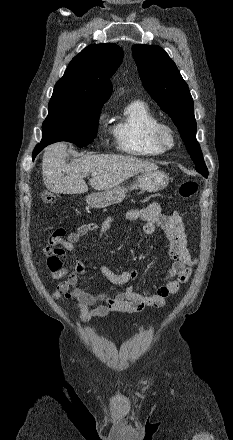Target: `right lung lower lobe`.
<instances>
[{
	"instance_id": "98d812e1",
	"label": "right lung lower lobe",
	"mask_w": 233,
	"mask_h": 440,
	"mask_svg": "<svg viewBox=\"0 0 233 440\" xmlns=\"http://www.w3.org/2000/svg\"><path fill=\"white\" fill-rule=\"evenodd\" d=\"M47 146V144H43V143H39L36 147H35V149H34V151H33V155H32V158H33V160L35 159V157H36V155L44 148V147H46Z\"/></svg>"
}]
</instances>
